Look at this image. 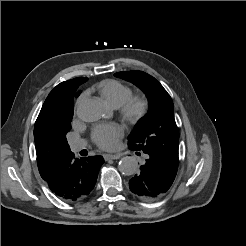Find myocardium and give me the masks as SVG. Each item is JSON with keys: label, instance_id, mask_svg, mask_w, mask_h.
Segmentation results:
<instances>
[{"label": "myocardium", "instance_id": "myocardium-1", "mask_svg": "<svg viewBox=\"0 0 246 246\" xmlns=\"http://www.w3.org/2000/svg\"><path fill=\"white\" fill-rule=\"evenodd\" d=\"M120 116L131 124L144 120L150 111V101L144 95H132L118 107Z\"/></svg>", "mask_w": 246, "mask_h": 246}]
</instances>
